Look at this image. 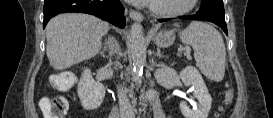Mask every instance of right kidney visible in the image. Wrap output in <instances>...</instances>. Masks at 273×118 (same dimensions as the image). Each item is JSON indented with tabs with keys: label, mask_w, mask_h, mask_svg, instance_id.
<instances>
[{
	"label": "right kidney",
	"mask_w": 273,
	"mask_h": 118,
	"mask_svg": "<svg viewBox=\"0 0 273 118\" xmlns=\"http://www.w3.org/2000/svg\"><path fill=\"white\" fill-rule=\"evenodd\" d=\"M77 93L83 108L94 110L102 104L105 97V88L103 84L95 82L90 69H85L78 83Z\"/></svg>",
	"instance_id": "right-kidney-1"
}]
</instances>
